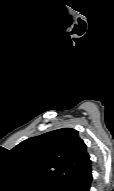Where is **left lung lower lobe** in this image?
<instances>
[{
  "instance_id": "obj_1",
  "label": "left lung lower lobe",
  "mask_w": 114,
  "mask_h": 191,
  "mask_svg": "<svg viewBox=\"0 0 114 191\" xmlns=\"http://www.w3.org/2000/svg\"><path fill=\"white\" fill-rule=\"evenodd\" d=\"M91 181V161L89 160L62 191H90Z\"/></svg>"
}]
</instances>
